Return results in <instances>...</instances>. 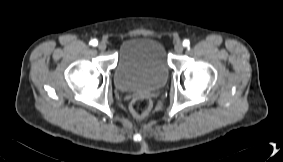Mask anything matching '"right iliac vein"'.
<instances>
[{"label": "right iliac vein", "mask_w": 283, "mask_h": 162, "mask_svg": "<svg viewBox=\"0 0 283 162\" xmlns=\"http://www.w3.org/2000/svg\"><path fill=\"white\" fill-rule=\"evenodd\" d=\"M107 45L105 42L101 41L99 44H98V49L101 50V51H104L106 49Z\"/></svg>", "instance_id": "63e3f726"}]
</instances>
